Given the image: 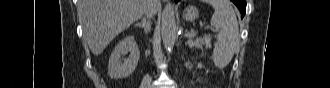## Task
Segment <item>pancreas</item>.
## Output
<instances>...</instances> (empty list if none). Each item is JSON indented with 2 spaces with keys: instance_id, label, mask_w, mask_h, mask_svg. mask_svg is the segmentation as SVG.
Masks as SVG:
<instances>
[{
  "instance_id": "cf45deb5",
  "label": "pancreas",
  "mask_w": 330,
  "mask_h": 88,
  "mask_svg": "<svg viewBox=\"0 0 330 88\" xmlns=\"http://www.w3.org/2000/svg\"><path fill=\"white\" fill-rule=\"evenodd\" d=\"M194 45L198 48H201L202 45H205L206 48L211 47L210 39L208 37H204L203 39H197L194 42Z\"/></svg>"
}]
</instances>
